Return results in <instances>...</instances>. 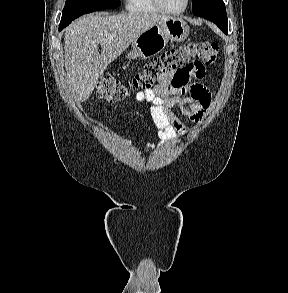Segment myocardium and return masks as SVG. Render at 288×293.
Wrapping results in <instances>:
<instances>
[{
    "instance_id": "obj_1",
    "label": "myocardium",
    "mask_w": 288,
    "mask_h": 293,
    "mask_svg": "<svg viewBox=\"0 0 288 293\" xmlns=\"http://www.w3.org/2000/svg\"><path fill=\"white\" fill-rule=\"evenodd\" d=\"M153 1L160 11L167 13V14H171V15H179V14L184 13L189 5V0H185L184 5L181 9L170 10L163 4V2L161 0H153Z\"/></svg>"
}]
</instances>
